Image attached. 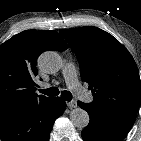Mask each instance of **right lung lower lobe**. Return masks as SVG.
<instances>
[{
    "label": "right lung lower lobe",
    "instance_id": "98d812e1",
    "mask_svg": "<svg viewBox=\"0 0 141 141\" xmlns=\"http://www.w3.org/2000/svg\"><path fill=\"white\" fill-rule=\"evenodd\" d=\"M66 103L60 97L44 104L13 113L0 123L3 141H48L55 120L64 112Z\"/></svg>",
    "mask_w": 141,
    "mask_h": 141
}]
</instances>
